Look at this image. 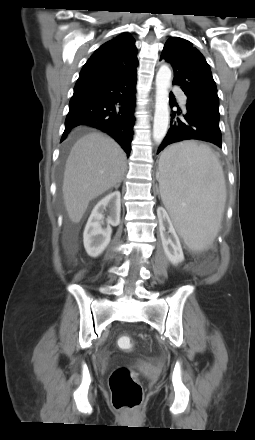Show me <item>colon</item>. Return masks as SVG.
<instances>
[{"mask_svg": "<svg viewBox=\"0 0 255 440\" xmlns=\"http://www.w3.org/2000/svg\"><path fill=\"white\" fill-rule=\"evenodd\" d=\"M117 345L123 350H131L134 342L129 335H121L117 339ZM109 388L112 404L116 409L136 410L142 403V386L135 372L127 366H120L112 372Z\"/></svg>", "mask_w": 255, "mask_h": 440, "instance_id": "1", "label": "colon"}]
</instances>
